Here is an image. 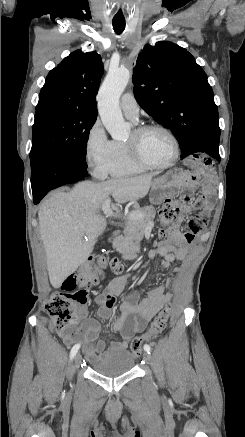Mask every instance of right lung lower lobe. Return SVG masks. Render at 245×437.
<instances>
[{"instance_id":"obj_1","label":"right lung lower lobe","mask_w":245,"mask_h":437,"mask_svg":"<svg viewBox=\"0 0 245 437\" xmlns=\"http://www.w3.org/2000/svg\"><path fill=\"white\" fill-rule=\"evenodd\" d=\"M34 204L52 189L74 183L87 175L86 163H71L58 158H47L31 168Z\"/></svg>"}]
</instances>
